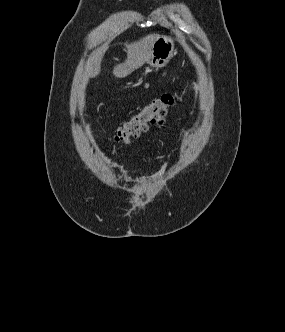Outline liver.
Returning a JSON list of instances; mask_svg holds the SVG:
<instances>
[{"label": "liver", "instance_id": "1", "mask_svg": "<svg viewBox=\"0 0 285 332\" xmlns=\"http://www.w3.org/2000/svg\"><path fill=\"white\" fill-rule=\"evenodd\" d=\"M158 37V34H149L133 43H126L125 51L127 58L122 64H118L114 67V76L124 78L135 69L141 67L145 62H148L151 50ZM106 49V46H102L89 56L84 68V74L87 78L96 77L100 73L101 61Z\"/></svg>", "mask_w": 285, "mask_h": 332}]
</instances>
